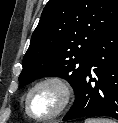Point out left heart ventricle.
<instances>
[{"label":"left heart ventricle","instance_id":"obj_1","mask_svg":"<svg viewBox=\"0 0 118 123\" xmlns=\"http://www.w3.org/2000/svg\"><path fill=\"white\" fill-rule=\"evenodd\" d=\"M61 102V92L53 85H46L33 92L30 98L31 112L39 117L52 114Z\"/></svg>","mask_w":118,"mask_h":123}]
</instances>
